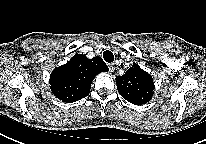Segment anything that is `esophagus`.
<instances>
[{"label":"esophagus","mask_w":206,"mask_h":144,"mask_svg":"<svg viewBox=\"0 0 206 144\" xmlns=\"http://www.w3.org/2000/svg\"><path fill=\"white\" fill-rule=\"evenodd\" d=\"M108 68L110 72H113L115 70L114 64H108Z\"/></svg>","instance_id":"34e87169"}]
</instances>
